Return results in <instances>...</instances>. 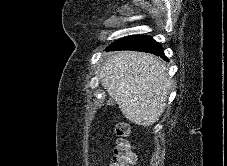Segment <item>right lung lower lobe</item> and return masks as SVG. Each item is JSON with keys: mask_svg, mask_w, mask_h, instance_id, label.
I'll return each instance as SVG.
<instances>
[{"mask_svg": "<svg viewBox=\"0 0 227 166\" xmlns=\"http://www.w3.org/2000/svg\"><path fill=\"white\" fill-rule=\"evenodd\" d=\"M116 50H132V51H143L161 56L165 60L161 45L157 43L152 37L146 35H135L128 36L122 40L117 41L108 47L107 51Z\"/></svg>", "mask_w": 227, "mask_h": 166, "instance_id": "1", "label": "right lung lower lobe"}]
</instances>
